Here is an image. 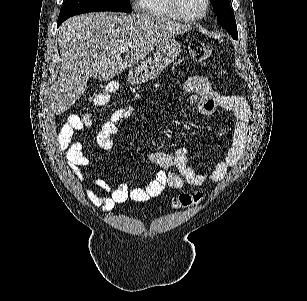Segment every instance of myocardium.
<instances>
[{
	"label": "myocardium",
	"instance_id": "obj_1",
	"mask_svg": "<svg viewBox=\"0 0 307 301\" xmlns=\"http://www.w3.org/2000/svg\"><path fill=\"white\" fill-rule=\"evenodd\" d=\"M178 1L169 0L168 12L171 13V17H176V22H200L201 17H205L208 9L207 0H202V7L195 8L193 10H177Z\"/></svg>",
	"mask_w": 307,
	"mask_h": 301
}]
</instances>
